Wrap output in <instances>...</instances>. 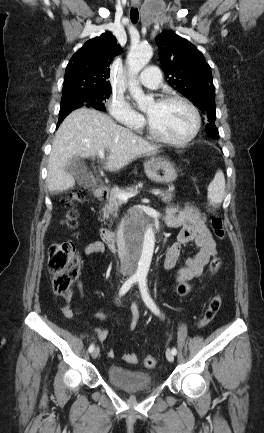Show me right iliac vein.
I'll return each mask as SVG.
<instances>
[{
	"label": "right iliac vein",
	"mask_w": 264,
	"mask_h": 433,
	"mask_svg": "<svg viewBox=\"0 0 264 433\" xmlns=\"http://www.w3.org/2000/svg\"><path fill=\"white\" fill-rule=\"evenodd\" d=\"M100 349L99 347H95L94 350L92 351V358L96 359L99 355Z\"/></svg>",
	"instance_id": "right-iliac-vein-1"
}]
</instances>
